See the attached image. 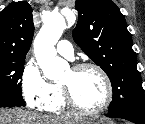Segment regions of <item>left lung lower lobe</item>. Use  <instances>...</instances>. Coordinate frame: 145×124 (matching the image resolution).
Returning a JSON list of instances; mask_svg holds the SVG:
<instances>
[{
    "instance_id": "obj_1",
    "label": "left lung lower lobe",
    "mask_w": 145,
    "mask_h": 124,
    "mask_svg": "<svg viewBox=\"0 0 145 124\" xmlns=\"http://www.w3.org/2000/svg\"><path fill=\"white\" fill-rule=\"evenodd\" d=\"M108 117L126 119L135 124H145V115L135 111H118L106 114Z\"/></svg>"
}]
</instances>
